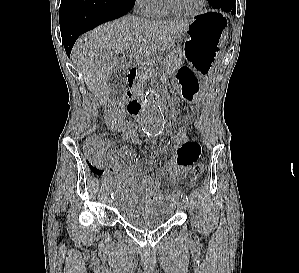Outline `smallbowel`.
Listing matches in <instances>:
<instances>
[{
    "instance_id": "1",
    "label": "small bowel",
    "mask_w": 299,
    "mask_h": 273,
    "mask_svg": "<svg viewBox=\"0 0 299 273\" xmlns=\"http://www.w3.org/2000/svg\"><path fill=\"white\" fill-rule=\"evenodd\" d=\"M106 125L115 131L123 132V139L132 141L138 134L135 123L123 118L120 110L110 108L105 114ZM201 147L198 142L187 138L179 145H172L166 161L169 185H175L188 173L190 167L199 159ZM134 154L124 145L117 150L105 152V161L112 165L115 173L114 185L121 196L122 209L133 211L140 215H150L160 208H172L178 198L177 193L165 196L155 182L148 177L140 178L141 164L133 162L127 165L119 164V158H133ZM129 187V189H126Z\"/></svg>"
}]
</instances>
